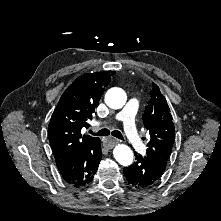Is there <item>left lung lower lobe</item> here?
<instances>
[{"instance_id": "obj_1", "label": "left lung lower lobe", "mask_w": 221, "mask_h": 221, "mask_svg": "<svg viewBox=\"0 0 221 221\" xmlns=\"http://www.w3.org/2000/svg\"><path fill=\"white\" fill-rule=\"evenodd\" d=\"M164 170L151 159L141 155L136 156V161L131 166L123 169L128 183L135 188H147L154 185L160 180Z\"/></svg>"}]
</instances>
